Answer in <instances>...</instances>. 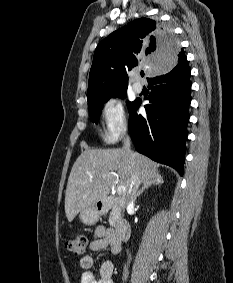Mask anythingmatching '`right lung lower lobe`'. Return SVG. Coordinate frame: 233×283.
Returning <instances> with one entry per match:
<instances>
[{
  "label": "right lung lower lobe",
  "mask_w": 233,
  "mask_h": 283,
  "mask_svg": "<svg viewBox=\"0 0 233 283\" xmlns=\"http://www.w3.org/2000/svg\"><path fill=\"white\" fill-rule=\"evenodd\" d=\"M148 81L152 90L145 105L146 115H138L141 101L129 111V132L138 152L175 168L183 175L185 140L190 105V68L186 56L172 70Z\"/></svg>",
  "instance_id": "1"
}]
</instances>
